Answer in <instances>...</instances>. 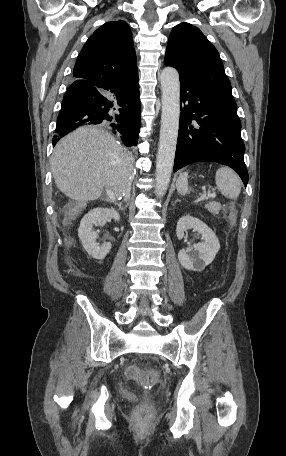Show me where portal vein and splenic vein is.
Wrapping results in <instances>:
<instances>
[{
	"label": "portal vein and splenic vein",
	"instance_id": "1",
	"mask_svg": "<svg viewBox=\"0 0 286 456\" xmlns=\"http://www.w3.org/2000/svg\"><path fill=\"white\" fill-rule=\"evenodd\" d=\"M107 194H108L110 199L114 200L113 193L110 190H107ZM206 196L208 198H215L216 197L215 193H211V192H208L204 197H206Z\"/></svg>",
	"mask_w": 286,
	"mask_h": 456
}]
</instances>
